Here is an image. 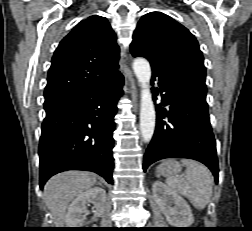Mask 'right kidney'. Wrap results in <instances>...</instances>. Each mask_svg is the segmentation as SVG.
<instances>
[{"instance_id": "1", "label": "right kidney", "mask_w": 252, "mask_h": 231, "mask_svg": "<svg viewBox=\"0 0 252 231\" xmlns=\"http://www.w3.org/2000/svg\"><path fill=\"white\" fill-rule=\"evenodd\" d=\"M93 203L94 216L100 217L106 204V192L102 188H91L79 196H77L69 205L66 215V224L69 228H82L84 227V221L88 210L86 203Z\"/></svg>"}]
</instances>
